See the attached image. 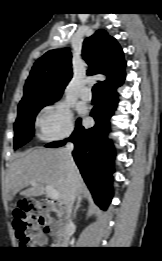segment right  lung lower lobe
<instances>
[{
    "label": "right lung lower lobe",
    "instance_id": "obj_1",
    "mask_svg": "<svg viewBox=\"0 0 162 261\" xmlns=\"http://www.w3.org/2000/svg\"><path fill=\"white\" fill-rule=\"evenodd\" d=\"M117 103L116 88L102 91L100 101L90 114L95 119V126L85 129L81 125V119H78L74 132L68 138L75 145L73 157L82 177L96 204L102 209L108 207L113 196L112 173L114 172L115 153L107 134L109 119L114 114ZM66 142L67 140L52 142L46 147L56 148L63 146Z\"/></svg>",
    "mask_w": 162,
    "mask_h": 261
}]
</instances>
